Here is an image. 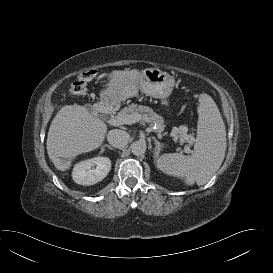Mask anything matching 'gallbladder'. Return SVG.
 <instances>
[{
  "label": "gallbladder",
  "mask_w": 273,
  "mask_h": 273,
  "mask_svg": "<svg viewBox=\"0 0 273 273\" xmlns=\"http://www.w3.org/2000/svg\"><path fill=\"white\" fill-rule=\"evenodd\" d=\"M85 108H86V109H87L89 112H91V113H93V112H94V110H93L92 106H91V105H89V104L85 105Z\"/></svg>",
  "instance_id": "bac80fb5"
}]
</instances>
